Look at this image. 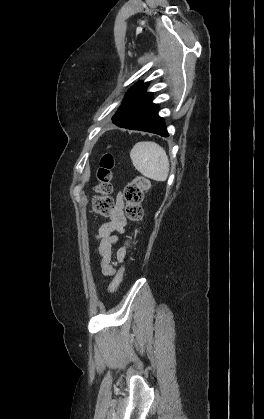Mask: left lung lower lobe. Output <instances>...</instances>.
Returning <instances> with one entry per match:
<instances>
[{
  "label": "left lung lower lobe",
  "mask_w": 264,
  "mask_h": 419,
  "mask_svg": "<svg viewBox=\"0 0 264 419\" xmlns=\"http://www.w3.org/2000/svg\"><path fill=\"white\" fill-rule=\"evenodd\" d=\"M152 97L153 93H143L127 104L121 116L112 118L113 123L118 127L168 137L164 120L158 115L159 107L151 102Z\"/></svg>",
  "instance_id": "1"
}]
</instances>
